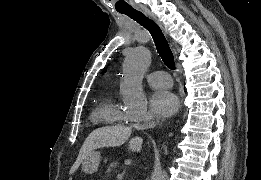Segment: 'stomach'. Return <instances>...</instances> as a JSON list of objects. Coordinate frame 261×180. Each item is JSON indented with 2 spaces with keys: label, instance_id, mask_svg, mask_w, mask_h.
<instances>
[{
  "label": "stomach",
  "instance_id": "stomach-1",
  "mask_svg": "<svg viewBox=\"0 0 261 180\" xmlns=\"http://www.w3.org/2000/svg\"><path fill=\"white\" fill-rule=\"evenodd\" d=\"M100 160H101L100 152L97 151L91 152L82 162L83 171L86 174H93L94 172H96Z\"/></svg>",
  "mask_w": 261,
  "mask_h": 180
}]
</instances>
